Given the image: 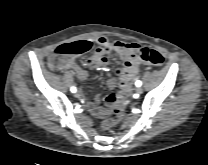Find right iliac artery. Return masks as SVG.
I'll use <instances>...</instances> for the list:
<instances>
[{
	"label": "right iliac artery",
	"mask_w": 208,
	"mask_h": 165,
	"mask_svg": "<svg viewBox=\"0 0 208 165\" xmlns=\"http://www.w3.org/2000/svg\"><path fill=\"white\" fill-rule=\"evenodd\" d=\"M71 92L75 93L76 92V88L75 87H71Z\"/></svg>",
	"instance_id": "1"
}]
</instances>
